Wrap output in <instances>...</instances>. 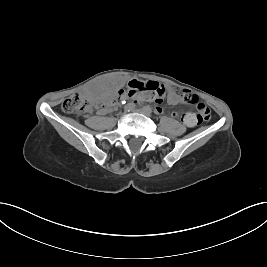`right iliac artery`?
Listing matches in <instances>:
<instances>
[{
  "label": "right iliac artery",
  "mask_w": 267,
  "mask_h": 267,
  "mask_svg": "<svg viewBox=\"0 0 267 267\" xmlns=\"http://www.w3.org/2000/svg\"><path fill=\"white\" fill-rule=\"evenodd\" d=\"M134 107H135V105H134L133 103H129V104H127V105L124 107V110H125L126 112H129V111L133 110Z\"/></svg>",
  "instance_id": "right-iliac-artery-1"
}]
</instances>
